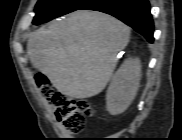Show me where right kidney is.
I'll use <instances>...</instances> for the list:
<instances>
[{
	"mask_svg": "<svg viewBox=\"0 0 182 140\" xmlns=\"http://www.w3.org/2000/svg\"><path fill=\"white\" fill-rule=\"evenodd\" d=\"M141 79L139 59H127L114 74L106 95V108L111 115L123 113L134 100Z\"/></svg>",
	"mask_w": 182,
	"mask_h": 140,
	"instance_id": "ca27d5eb",
	"label": "right kidney"
}]
</instances>
